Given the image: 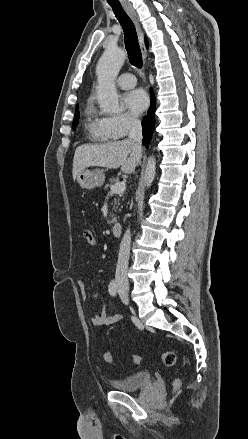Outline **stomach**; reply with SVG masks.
<instances>
[{"mask_svg": "<svg viewBox=\"0 0 248 439\" xmlns=\"http://www.w3.org/2000/svg\"><path fill=\"white\" fill-rule=\"evenodd\" d=\"M76 180L82 188L90 190L102 186L105 175L101 170H83L77 175Z\"/></svg>", "mask_w": 248, "mask_h": 439, "instance_id": "stomach-1", "label": "stomach"}]
</instances>
